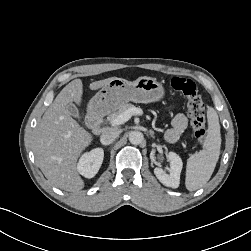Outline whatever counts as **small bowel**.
Returning <instances> with one entry per match:
<instances>
[{"instance_id":"1","label":"small bowel","mask_w":251,"mask_h":251,"mask_svg":"<svg viewBox=\"0 0 251 251\" xmlns=\"http://www.w3.org/2000/svg\"><path fill=\"white\" fill-rule=\"evenodd\" d=\"M187 127V118L184 114H177L172 120V127L166 132L165 138L174 143L181 138Z\"/></svg>"}]
</instances>
